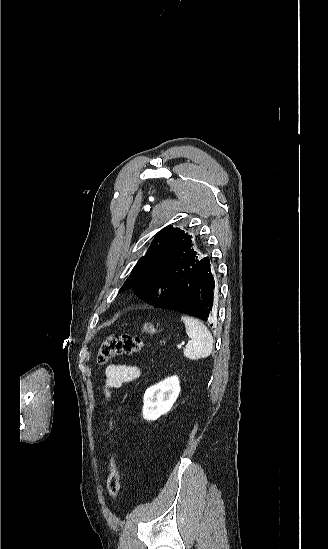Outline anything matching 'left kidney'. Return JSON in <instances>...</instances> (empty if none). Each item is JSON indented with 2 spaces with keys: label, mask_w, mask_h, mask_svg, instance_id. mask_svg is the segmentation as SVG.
<instances>
[{
  "label": "left kidney",
  "mask_w": 328,
  "mask_h": 549,
  "mask_svg": "<svg viewBox=\"0 0 328 549\" xmlns=\"http://www.w3.org/2000/svg\"><path fill=\"white\" fill-rule=\"evenodd\" d=\"M181 387L178 377H168L158 385H153L145 391L143 417L146 421H156L161 415H166L172 409Z\"/></svg>",
  "instance_id": "1"
}]
</instances>
